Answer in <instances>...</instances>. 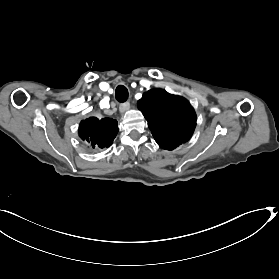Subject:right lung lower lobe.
Masks as SVG:
<instances>
[{
	"label": "right lung lower lobe",
	"instance_id": "1",
	"mask_svg": "<svg viewBox=\"0 0 279 279\" xmlns=\"http://www.w3.org/2000/svg\"><path fill=\"white\" fill-rule=\"evenodd\" d=\"M117 132V121L110 118L99 120L90 117L82 121L79 127V137L93 149L109 147L113 143Z\"/></svg>",
	"mask_w": 279,
	"mask_h": 279
}]
</instances>
